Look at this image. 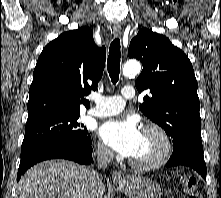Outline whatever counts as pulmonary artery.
<instances>
[{
	"label": "pulmonary artery",
	"instance_id": "obj_1",
	"mask_svg": "<svg viewBox=\"0 0 221 198\" xmlns=\"http://www.w3.org/2000/svg\"><path fill=\"white\" fill-rule=\"evenodd\" d=\"M135 95L132 86L122 88L121 95L100 96L94 94L91 99L96 103L95 107L88 110V114L96 117H106L121 112L128 99H132Z\"/></svg>",
	"mask_w": 221,
	"mask_h": 198
}]
</instances>
